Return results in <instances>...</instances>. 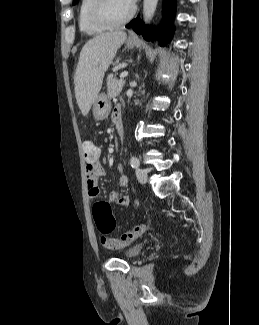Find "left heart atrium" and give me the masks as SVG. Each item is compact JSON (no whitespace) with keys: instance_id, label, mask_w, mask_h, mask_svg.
Listing matches in <instances>:
<instances>
[{"instance_id":"obj_1","label":"left heart atrium","mask_w":259,"mask_h":325,"mask_svg":"<svg viewBox=\"0 0 259 325\" xmlns=\"http://www.w3.org/2000/svg\"><path fill=\"white\" fill-rule=\"evenodd\" d=\"M129 4L133 5L135 0H126Z\"/></svg>"}]
</instances>
